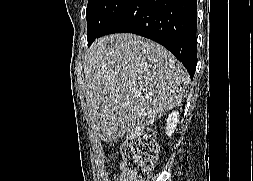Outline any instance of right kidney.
I'll return each instance as SVG.
<instances>
[{
  "mask_svg": "<svg viewBox=\"0 0 253 181\" xmlns=\"http://www.w3.org/2000/svg\"><path fill=\"white\" fill-rule=\"evenodd\" d=\"M179 113L177 111L172 112L169 114L166 120V134L171 137L174 133L177 123H178Z\"/></svg>",
  "mask_w": 253,
  "mask_h": 181,
  "instance_id": "1",
  "label": "right kidney"
}]
</instances>
